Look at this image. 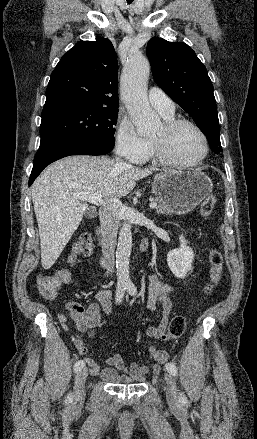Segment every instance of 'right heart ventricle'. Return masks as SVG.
Returning a JSON list of instances; mask_svg holds the SVG:
<instances>
[{"label":"right heart ventricle","mask_w":257,"mask_h":439,"mask_svg":"<svg viewBox=\"0 0 257 439\" xmlns=\"http://www.w3.org/2000/svg\"><path fill=\"white\" fill-rule=\"evenodd\" d=\"M163 117L166 121L174 119L173 115L172 116H163ZM155 156H156V152H155V149H154V146L152 143V139H148V153H147L146 157L140 162L146 161V160L153 158Z\"/></svg>","instance_id":"right-heart-ventricle-1"}]
</instances>
